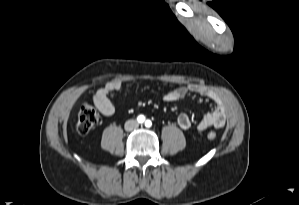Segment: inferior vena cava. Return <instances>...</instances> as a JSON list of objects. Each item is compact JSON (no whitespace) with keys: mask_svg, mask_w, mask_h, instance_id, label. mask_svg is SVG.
I'll list each match as a JSON object with an SVG mask.
<instances>
[{"mask_svg":"<svg viewBox=\"0 0 299 205\" xmlns=\"http://www.w3.org/2000/svg\"><path fill=\"white\" fill-rule=\"evenodd\" d=\"M137 127H138V123L135 120H128L125 123V130H127V131H131V130L137 128Z\"/></svg>","mask_w":299,"mask_h":205,"instance_id":"inferior-vena-cava-1","label":"inferior vena cava"}]
</instances>
